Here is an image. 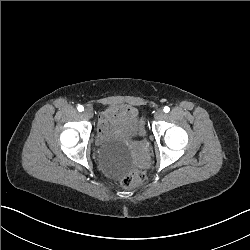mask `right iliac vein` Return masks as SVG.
Listing matches in <instances>:
<instances>
[{
    "instance_id": "obj_1",
    "label": "right iliac vein",
    "mask_w": 250,
    "mask_h": 250,
    "mask_svg": "<svg viewBox=\"0 0 250 250\" xmlns=\"http://www.w3.org/2000/svg\"><path fill=\"white\" fill-rule=\"evenodd\" d=\"M83 116L85 118H92L93 117V112L90 109H85L83 112Z\"/></svg>"
}]
</instances>
